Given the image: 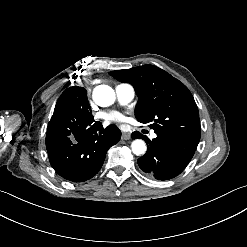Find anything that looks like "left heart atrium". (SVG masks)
Segmentation results:
<instances>
[{
    "label": "left heart atrium",
    "instance_id": "1",
    "mask_svg": "<svg viewBox=\"0 0 247 247\" xmlns=\"http://www.w3.org/2000/svg\"><path fill=\"white\" fill-rule=\"evenodd\" d=\"M102 118L107 122L121 123L126 120L123 113L118 111H109L102 114Z\"/></svg>",
    "mask_w": 247,
    "mask_h": 247
}]
</instances>
